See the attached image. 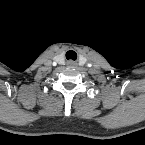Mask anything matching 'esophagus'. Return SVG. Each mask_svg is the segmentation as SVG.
<instances>
[{"mask_svg":"<svg viewBox=\"0 0 145 145\" xmlns=\"http://www.w3.org/2000/svg\"><path fill=\"white\" fill-rule=\"evenodd\" d=\"M67 65L69 67H75L77 65V63L75 61H73V60H69V61H67Z\"/></svg>","mask_w":145,"mask_h":145,"instance_id":"1","label":"esophagus"}]
</instances>
